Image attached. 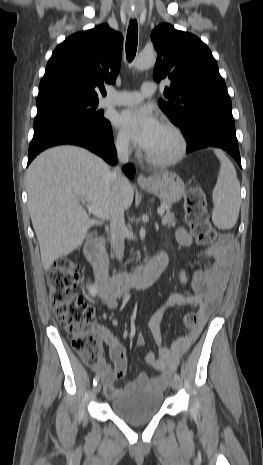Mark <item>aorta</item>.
Instances as JSON below:
<instances>
[{
	"label": "aorta",
	"mask_w": 263,
	"mask_h": 465,
	"mask_svg": "<svg viewBox=\"0 0 263 465\" xmlns=\"http://www.w3.org/2000/svg\"><path fill=\"white\" fill-rule=\"evenodd\" d=\"M156 53L155 52H146L142 51L138 54L134 61V67L137 70H145L150 67H153L156 63Z\"/></svg>",
	"instance_id": "1"
}]
</instances>
